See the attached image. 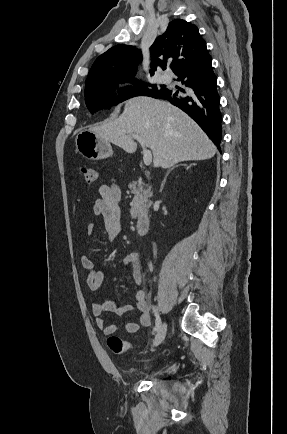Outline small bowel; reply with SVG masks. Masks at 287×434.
Here are the masks:
<instances>
[{
	"label": "small bowel",
	"instance_id": "small-bowel-1",
	"mask_svg": "<svg viewBox=\"0 0 287 434\" xmlns=\"http://www.w3.org/2000/svg\"><path fill=\"white\" fill-rule=\"evenodd\" d=\"M100 197L96 199L93 205V214L101 217L104 224V233L107 242H113L122 233V216L120 207V193L116 185H101L98 188ZM95 232L94 224H88L86 227L87 235H93ZM81 266L88 271L87 286L90 290H97L108 273L103 269H98L95 263L88 257L83 255L80 259ZM118 265L127 266L132 269V279L135 285L140 286L143 280L142 267L137 253H128ZM136 308L139 311L138 321H129L125 324V331L128 334L136 333L140 327H148L151 325V316L146 302V294L142 289L135 293ZM91 312L96 317L97 326L103 330L104 334L109 336L117 331V325L107 323L102 317L104 313H113L117 316H122L131 311L134 306L132 304H121L117 300H108L103 303L92 302Z\"/></svg>",
	"mask_w": 287,
	"mask_h": 434
}]
</instances>
